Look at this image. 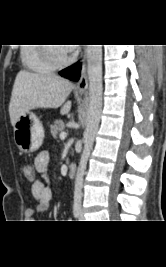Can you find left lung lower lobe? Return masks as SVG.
<instances>
[{
  "mask_svg": "<svg viewBox=\"0 0 166 267\" xmlns=\"http://www.w3.org/2000/svg\"><path fill=\"white\" fill-rule=\"evenodd\" d=\"M81 63H77L71 67L65 68L59 72V74L70 80L77 81L80 76Z\"/></svg>",
  "mask_w": 166,
  "mask_h": 267,
  "instance_id": "0a47b994",
  "label": "left lung lower lobe"
}]
</instances>
